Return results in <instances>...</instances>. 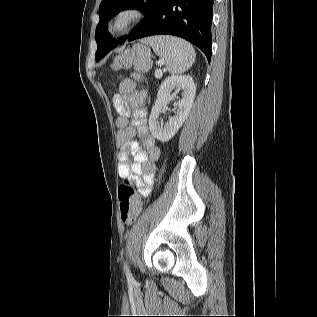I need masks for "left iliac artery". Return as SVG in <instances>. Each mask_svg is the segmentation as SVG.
I'll return each instance as SVG.
<instances>
[{"instance_id":"44dca946","label":"left iliac artery","mask_w":317,"mask_h":317,"mask_svg":"<svg viewBox=\"0 0 317 317\" xmlns=\"http://www.w3.org/2000/svg\"><path fill=\"white\" fill-rule=\"evenodd\" d=\"M124 269H125V272H126V276H127L129 279L132 280L133 277H132V275H131V273H130V271H129V268H128L127 263L124 264Z\"/></svg>"}]
</instances>
